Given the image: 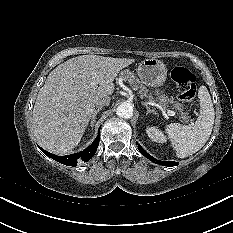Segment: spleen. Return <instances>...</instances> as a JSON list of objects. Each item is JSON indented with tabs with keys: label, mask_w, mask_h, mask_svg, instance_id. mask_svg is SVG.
<instances>
[{
	"label": "spleen",
	"mask_w": 233,
	"mask_h": 233,
	"mask_svg": "<svg viewBox=\"0 0 233 233\" xmlns=\"http://www.w3.org/2000/svg\"><path fill=\"white\" fill-rule=\"evenodd\" d=\"M198 98L200 112L195 123L191 125L171 123L165 126V132L178 158H185L199 151L211 135L215 112L211 96L205 86L199 88Z\"/></svg>",
	"instance_id": "spleen-1"
}]
</instances>
